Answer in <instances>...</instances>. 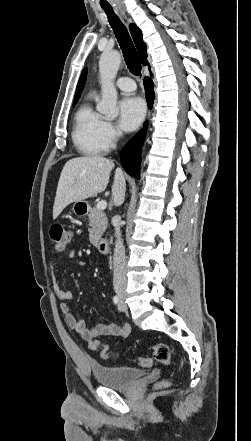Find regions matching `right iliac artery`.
I'll return each instance as SVG.
<instances>
[{
    "mask_svg": "<svg viewBox=\"0 0 251 441\" xmlns=\"http://www.w3.org/2000/svg\"><path fill=\"white\" fill-rule=\"evenodd\" d=\"M113 303L114 304H118L119 303V297L118 296H114L113 297Z\"/></svg>",
    "mask_w": 251,
    "mask_h": 441,
    "instance_id": "right-iliac-artery-1",
    "label": "right iliac artery"
}]
</instances>
